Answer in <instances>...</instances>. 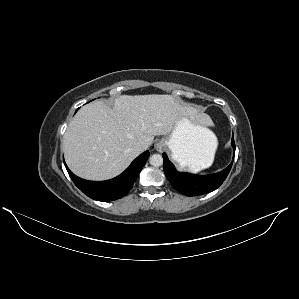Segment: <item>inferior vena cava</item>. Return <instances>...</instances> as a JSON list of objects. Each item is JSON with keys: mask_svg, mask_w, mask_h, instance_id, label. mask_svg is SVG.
Listing matches in <instances>:
<instances>
[{"mask_svg": "<svg viewBox=\"0 0 299 299\" xmlns=\"http://www.w3.org/2000/svg\"><path fill=\"white\" fill-rule=\"evenodd\" d=\"M134 149L136 152L142 153L143 151H145L147 149V146L144 143L139 142L134 146Z\"/></svg>", "mask_w": 299, "mask_h": 299, "instance_id": "inferior-vena-cava-1", "label": "inferior vena cava"}]
</instances>
